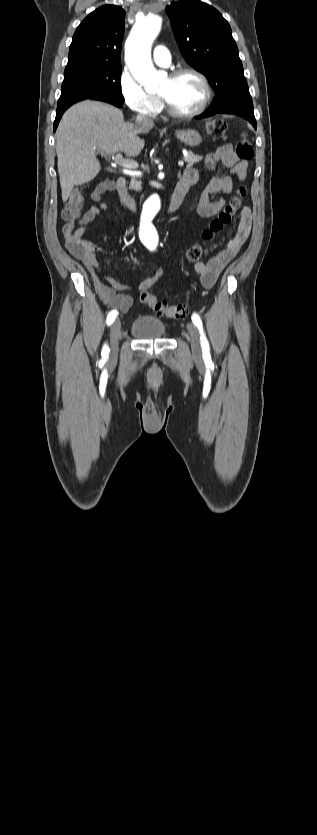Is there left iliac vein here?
Segmentation results:
<instances>
[{"instance_id":"obj_1","label":"left iliac vein","mask_w":317,"mask_h":835,"mask_svg":"<svg viewBox=\"0 0 317 835\" xmlns=\"http://www.w3.org/2000/svg\"><path fill=\"white\" fill-rule=\"evenodd\" d=\"M187 330L189 335V340L191 342V348L193 355L199 357L201 354V349L199 345V335L196 327L192 323L187 324Z\"/></svg>"}]
</instances>
